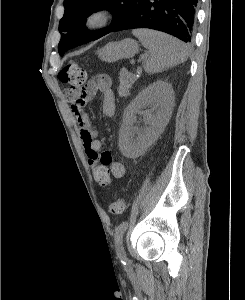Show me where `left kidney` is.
Here are the masks:
<instances>
[{
    "mask_svg": "<svg viewBox=\"0 0 245 300\" xmlns=\"http://www.w3.org/2000/svg\"><path fill=\"white\" fill-rule=\"evenodd\" d=\"M173 90L164 81H157L142 90L127 106L123 115V124L119 134V147L127 157H136L143 153L159 136L171 114ZM152 107L145 113L149 127L136 129V114L141 109Z\"/></svg>",
    "mask_w": 245,
    "mask_h": 300,
    "instance_id": "obj_1",
    "label": "left kidney"
}]
</instances>
